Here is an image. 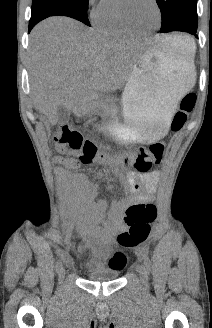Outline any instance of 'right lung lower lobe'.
I'll list each match as a JSON object with an SVG mask.
<instances>
[{"instance_id": "right-lung-lower-lobe-1", "label": "right lung lower lobe", "mask_w": 212, "mask_h": 328, "mask_svg": "<svg viewBox=\"0 0 212 328\" xmlns=\"http://www.w3.org/2000/svg\"><path fill=\"white\" fill-rule=\"evenodd\" d=\"M68 16L76 19V15L71 11L62 8H48V7H37L32 9V15L29 21V32L31 29L41 20L50 17V16Z\"/></svg>"}]
</instances>
